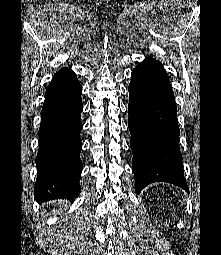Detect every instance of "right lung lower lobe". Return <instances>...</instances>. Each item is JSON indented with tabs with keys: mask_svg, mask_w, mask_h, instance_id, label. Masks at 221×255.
Listing matches in <instances>:
<instances>
[{
	"mask_svg": "<svg viewBox=\"0 0 221 255\" xmlns=\"http://www.w3.org/2000/svg\"><path fill=\"white\" fill-rule=\"evenodd\" d=\"M81 93L82 87L69 68L59 70L46 90L36 158V200H73L80 193Z\"/></svg>",
	"mask_w": 221,
	"mask_h": 255,
	"instance_id": "98d812e1",
	"label": "right lung lower lobe"
}]
</instances>
